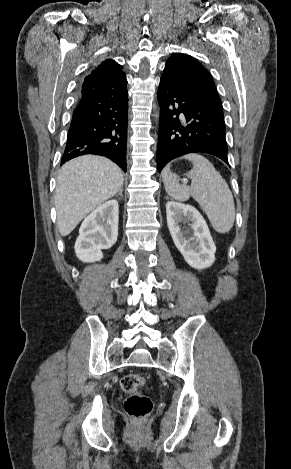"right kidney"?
<instances>
[{"mask_svg":"<svg viewBox=\"0 0 291 469\" xmlns=\"http://www.w3.org/2000/svg\"><path fill=\"white\" fill-rule=\"evenodd\" d=\"M119 205L109 200L96 208L81 224L75 242V253L86 263L100 261L103 249L111 248L118 237Z\"/></svg>","mask_w":291,"mask_h":469,"instance_id":"ca27d5eb","label":"right kidney"}]
</instances>
